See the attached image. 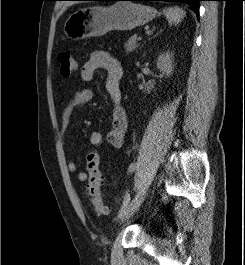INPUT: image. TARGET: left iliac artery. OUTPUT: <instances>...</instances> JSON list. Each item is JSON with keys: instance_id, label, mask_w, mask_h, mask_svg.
<instances>
[{"instance_id": "left-iliac-artery-1", "label": "left iliac artery", "mask_w": 245, "mask_h": 265, "mask_svg": "<svg viewBox=\"0 0 245 265\" xmlns=\"http://www.w3.org/2000/svg\"><path fill=\"white\" fill-rule=\"evenodd\" d=\"M137 167H138L137 163H135V162L131 163L129 168H128V172L129 173L134 172ZM129 202H130V195L128 193H126L124 200H123L122 207L119 211V217L122 216L127 211L128 207H129Z\"/></svg>"}]
</instances>
